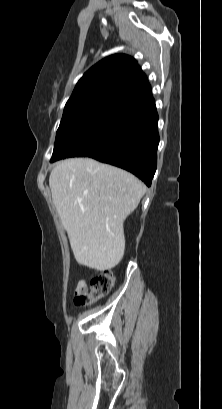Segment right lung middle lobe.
Returning <instances> with one entry per match:
<instances>
[{"mask_svg": "<svg viewBox=\"0 0 222 409\" xmlns=\"http://www.w3.org/2000/svg\"><path fill=\"white\" fill-rule=\"evenodd\" d=\"M124 109L119 104H100L64 110L50 162L93 152Z\"/></svg>", "mask_w": 222, "mask_h": 409, "instance_id": "right-lung-middle-lobe-1", "label": "right lung middle lobe"}]
</instances>
